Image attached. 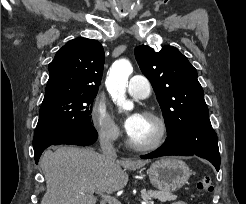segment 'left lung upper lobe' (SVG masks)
<instances>
[{"instance_id": "1", "label": "left lung upper lobe", "mask_w": 246, "mask_h": 204, "mask_svg": "<svg viewBox=\"0 0 246 204\" xmlns=\"http://www.w3.org/2000/svg\"><path fill=\"white\" fill-rule=\"evenodd\" d=\"M136 60L150 80L165 120L167 135L188 124L209 121L197 71L178 49L147 45L135 48Z\"/></svg>"}]
</instances>
